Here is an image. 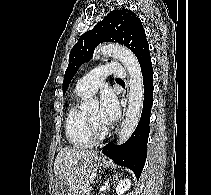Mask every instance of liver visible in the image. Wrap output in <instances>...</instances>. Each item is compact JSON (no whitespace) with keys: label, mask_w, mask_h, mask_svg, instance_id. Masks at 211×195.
I'll return each mask as SVG.
<instances>
[{"label":"liver","mask_w":211,"mask_h":195,"mask_svg":"<svg viewBox=\"0 0 211 195\" xmlns=\"http://www.w3.org/2000/svg\"><path fill=\"white\" fill-rule=\"evenodd\" d=\"M97 160V152L92 150L64 147L59 151L54 162V173L66 181L67 195H80L87 190L96 176ZM58 194L66 195L65 191H56L55 195Z\"/></svg>","instance_id":"1"}]
</instances>
